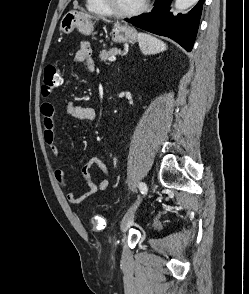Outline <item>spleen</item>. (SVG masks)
Returning <instances> with one entry per match:
<instances>
[{
  "instance_id": "obj_1",
  "label": "spleen",
  "mask_w": 249,
  "mask_h": 294,
  "mask_svg": "<svg viewBox=\"0 0 249 294\" xmlns=\"http://www.w3.org/2000/svg\"><path fill=\"white\" fill-rule=\"evenodd\" d=\"M138 42L142 53L145 55L157 54L167 49V45L163 41L147 33H139Z\"/></svg>"
}]
</instances>
